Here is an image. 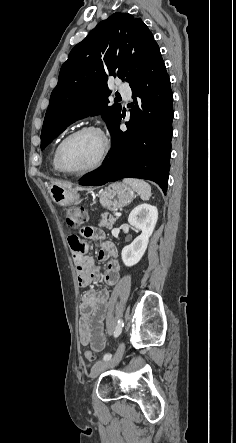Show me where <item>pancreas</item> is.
<instances>
[{
  "mask_svg": "<svg viewBox=\"0 0 236 443\" xmlns=\"http://www.w3.org/2000/svg\"><path fill=\"white\" fill-rule=\"evenodd\" d=\"M117 217L107 216V214L102 215V219L99 222L100 227H106L108 229H112L115 224Z\"/></svg>",
  "mask_w": 236,
  "mask_h": 443,
  "instance_id": "pancreas-1",
  "label": "pancreas"
}]
</instances>
